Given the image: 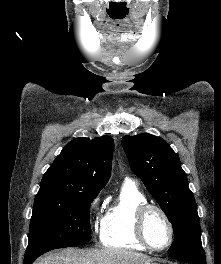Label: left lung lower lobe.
<instances>
[{"instance_id":"1","label":"left lung lower lobe","mask_w":221,"mask_h":264,"mask_svg":"<svg viewBox=\"0 0 221 264\" xmlns=\"http://www.w3.org/2000/svg\"><path fill=\"white\" fill-rule=\"evenodd\" d=\"M170 255L179 258L188 264H206L205 253L203 250L173 252L170 253Z\"/></svg>"}]
</instances>
